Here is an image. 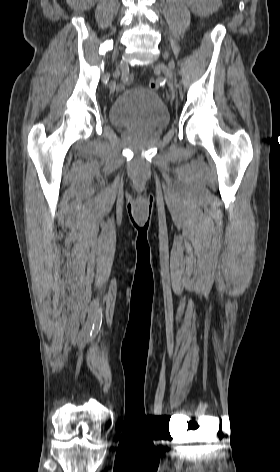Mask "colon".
Segmentation results:
<instances>
[{
  "instance_id": "5ec220e1",
  "label": "colon",
  "mask_w": 280,
  "mask_h": 472,
  "mask_svg": "<svg viewBox=\"0 0 280 472\" xmlns=\"http://www.w3.org/2000/svg\"><path fill=\"white\" fill-rule=\"evenodd\" d=\"M148 86L151 88V89H157L159 87V83L157 82V80L155 79H150L148 81Z\"/></svg>"
}]
</instances>
